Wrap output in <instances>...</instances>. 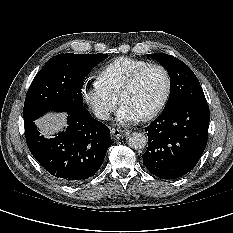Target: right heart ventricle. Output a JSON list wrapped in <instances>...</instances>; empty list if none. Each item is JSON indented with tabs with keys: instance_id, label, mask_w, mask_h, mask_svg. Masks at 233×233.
<instances>
[{
	"instance_id": "e07e8e85",
	"label": "right heart ventricle",
	"mask_w": 233,
	"mask_h": 233,
	"mask_svg": "<svg viewBox=\"0 0 233 233\" xmlns=\"http://www.w3.org/2000/svg\"><path fill=\"white\" fill-rule=\"evenodd\" d=\"M147 64L149 62L146 60L132 57H119L100 70L98 79L114 96L118 97L130 76L136 70Z\"/></svg>"
}]
</instances>
